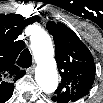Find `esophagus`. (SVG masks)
<instances>
[{"instance_id": "esophagus-1", "label": "esophagus", "mask_w": 103, "mask_h": 103, "mask_svg": "<svg viewBox=\"0 0 103 103\" xmlns=\"http://www.w3.org/2000/svg\"><path fill=\"white\" fill-rule=\"evenodd\" d=\"M34 70H35V65L31 66L30 68H28V73L29 74H33L34 73Z\"/></svg>"}]
</instances>
